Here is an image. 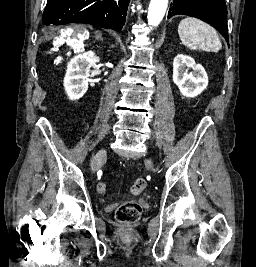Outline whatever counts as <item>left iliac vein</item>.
Listing matches in <instances>:
<instances>
[{"label": "left iliac vein", "instance_id": "obj_1", "mask_svg": "<svg viewBox=\"0 0 256 267\" xmlns=\"http://www.w3.org/2000/svg\"><path fill=\"white\" fill-rule=\"evenodd\" d=\"M144 162L149 166V168H150L152 171H154V168H153V165H152V161H151V160L146 159Z\"/></svg>", "mask_w": 256, "mask_h": 267}]
</instances>
